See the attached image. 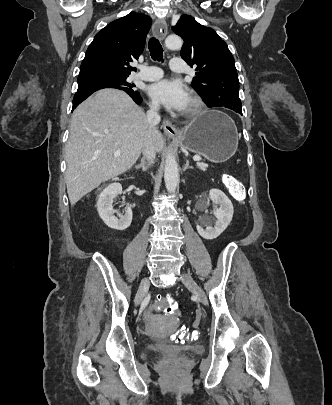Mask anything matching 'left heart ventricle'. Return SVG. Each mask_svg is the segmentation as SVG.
<instances>
[{
  "mask_svg": "<svg viewBox=\"0 0 332 405\" xmlns=\"http://www.w3.org/2000/svg\"><path fill=\"white\" fill-rule=\"evenodd\" d=\"M188 107H189V101H188V104H187V106H186V108H185L184 110H187V109H188Z\"/></svg>",
  "mask_w": 332,
  "mask_h": 405,
  "instance_id": "left-heart-ventricle-1",
  "label": "left heart ventricle"
}]
</instances>
